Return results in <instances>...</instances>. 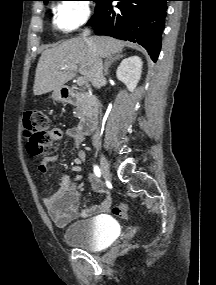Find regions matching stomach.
<instances>
[{
  "mask_svg": "<svg viewBox=\"0 0 216 285\" xmlns=\"http://www.w3.org/2000/svg\"><path fill=\"white\" fill-rule=\"evenodd\" d=\"M61 91H62V88L53 91V93H52V98H53L55 101L61 102V101H64V100H65V97L63 96V94H62Z\"/></svg>",
  "mask_w": 216,
  "mask_h": 285,
  "instance_id": "0dacf381",
  "label": "stomach"
}]
</instances>
